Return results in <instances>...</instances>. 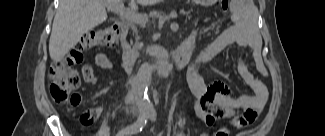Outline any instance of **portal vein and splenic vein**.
I'll return each instance as SVG.
<instances>
[{
    "label": "portal vein and splenic vein",
    "mask_w": 325,
    "mask_h": 136,
    "mask_svg": "<svg viewBox=\"0 0 325 136\" xmlns=\"http://www.w3.org/2000/svg\"><path fill=\"white\" fill-rule=\"evenodd\" d=\"M107 8H108V10L114 12L115 14L125 18L126 20L134 22L136 24H145L146 21L148 20L147 17H144V16L136 14L134 12L125 10L123 7V4H118V5L110 4V5H107ZM171 27L178 28V24L174 23V24H172Z\"/></svg>",
    "instance_id": "1"
}]
</instances>
